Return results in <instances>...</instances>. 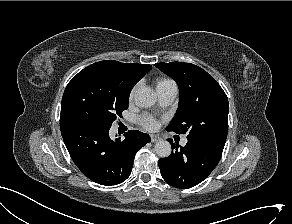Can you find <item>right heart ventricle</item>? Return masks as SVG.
Masks as SVG:
<instances>
[{"label": "right heart ventricle", "instance_id": "obj_1", "mask_svg": "<svg viewBox=\"0 0 292 224\" xmlns=\"http://www.w3.org/2000/svg\"><path fill=\"white\" fill-rule=\"evenodd\" d=\"M170 82H172V81L168 80V79H161L157 82V87L162 86V85L167 84V83H170Z\"/></svg>", "mask_w": 292, "mask_h": 224}]
</instances>
